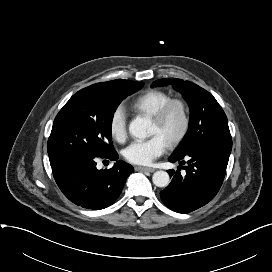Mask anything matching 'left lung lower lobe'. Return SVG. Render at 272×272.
<instances>
[{
    "label": "left lung lower lobe",
    "mask_w": 272,
    "mask_h": 272,
    "mask_svg": "<svg viewBox=\"0 0 272 272\" xmlns=\"http://www.w3.org/2000/svg\"><path fill=\"white\" fill-rule=\"evenodd\" d=\"M231 149L232 140L214 141L172 155L170 162L186 163V175L168 170L172 181L160 192L163 203L175 212L189 213L211 201L223 183Z\"/></svg>",
    "instance_id": "obj_1"
}]
</instances>
